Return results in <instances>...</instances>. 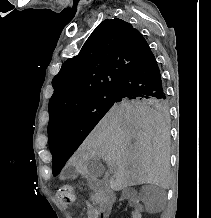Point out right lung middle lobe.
<instances>
[{"mask_svg":"<svg viewBox=\"0 0 211 218\" xmlns=\"http://www.w3.org/2000/svg\"><path fill=\"white\" fill-rule=\"evenodd\" d=\"M113 105L129 107L147 105L161 112L168 110L166 98H124L119 97L114 91H108L81 103L58 117L48 127L50 147L64 143H72L78 147ZM64 164L65 162H53L54 176L60 173Z\"/></svg>","mask_w":211,"mask_h":218,"instance_id":"1","label":"right lung middle lobe"}]
</instances>
